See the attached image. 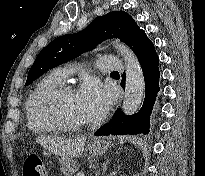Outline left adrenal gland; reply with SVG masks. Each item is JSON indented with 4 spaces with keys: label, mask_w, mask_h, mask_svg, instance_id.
<instances>
[{
    "label": "left adrenal gland",
    "mask_w": 205,
    "mask_h": 176,
    "mask_svg": "<svg viewBox=\"0 0 205 176\" xmlns=\"http://www.w3.org/2000/svg\"><path fill=\"white\" fill-rule=\"evenodd\" d=\"M107 164H108V162L103 165V172H104V173H105V171H106V169H107Z\"/></svg>",
    "instance_id": "a2214340"
}]
</instances>
